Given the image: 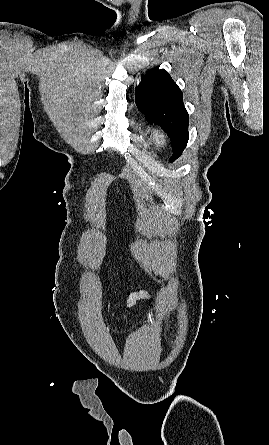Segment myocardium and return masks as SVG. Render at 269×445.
Returning <instances> with one entry per match:
<instances>
[{"label": "myocardium", "instance_id": "1", "mask_svg": "<svg viewBox=\"0 0 269 445\" xmlns=\"http://www.w3.org/2000/svg\"><path fill=\"white\" fill-rule=\"evenodd\" d=\"M152 139L154 144L159 147L163 148L168 144V134L160 127H157L153 130L152 133Z\"/></svg>", "mask_w": 269, "mask_h": 445}]
</instances>
